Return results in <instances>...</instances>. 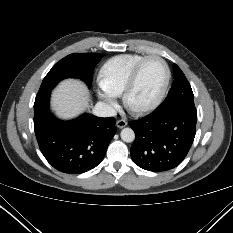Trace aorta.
<instances>
[{
    "label": "aorta",
    "instance_id": "obj_1",
    "mask_svg": "<svg viewBox=\"0 0 233 233\" xmlns=\"http://www.w3.org/2000/svg\"><path fill=\"white\" fill-rule=\"evenodd\" d=\"M120 136L124 142H128V143L134 141L135 139V133L131 128L122 129Z\"/></svg>",
    "mask_w": 233,
    "mask_h": 233
}]
</instances>
